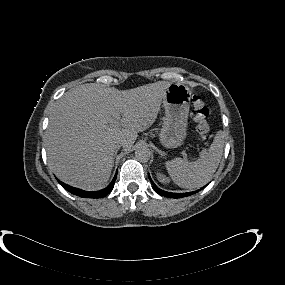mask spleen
<instances>
[{
  "instance_id": "3e777b00",
  "label": "spleen",
  "mask_w": 285,
  "mask_h": 285,
  "mask_svg": "<svg viewBox=\"0 0 285 285\" xmlns=\"http://www.w3.org/2000/svg\"><path fill=\"white\" fill-rule=\"evenodd\" d=\"M224 135L219 131L211 146L202 150L194 162L176 158L165 163L173 182L187 189L200 188L207 184L215 173L222 158Z\"/></svg>"
}]
</instances>
